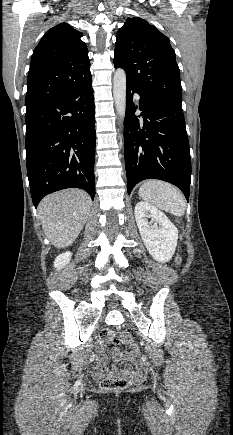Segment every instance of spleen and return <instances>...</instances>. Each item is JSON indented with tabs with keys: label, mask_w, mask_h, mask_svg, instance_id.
Here are the masks:
<instances>
[{
	"label": "spleen",
	"mask_w": 233,
	"mask_h": 435,
	"mask_svg": "<svg viewBox=\"0 0 233 435\" xmlns=\"http://www.w3.org/2000/svg\"><path fill=\"white\" fill-rule=\"evenodd\" d=\"M139 196L172 215L185 214L186 200L181 191L170 183L148 180L139 188Z\"/></svg>",
	"instance_id": "3e777b00"
}]
</instances>
